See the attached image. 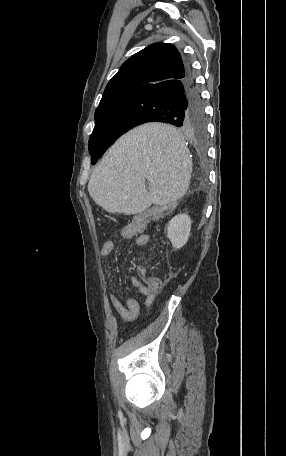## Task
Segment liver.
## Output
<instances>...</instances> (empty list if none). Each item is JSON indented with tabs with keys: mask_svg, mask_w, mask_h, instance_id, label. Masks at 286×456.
Wrapping results in <instances>:
<instances>
[{
	"mask_svg": "<svg viewBox=\"0 0 286 456\" xmlns=\"http://www.w3.org/2000/svg\"><path fill=\"white\" fill-rule=\"evenodd\" d=\"M191 173L182 133L171 125L147 123L110 147L90 177L88 192L108 212L138 214L152 204L176 203L186 194Z\"/></svg>",
	"mask_w": 286,
	"mask_h": 456,
	"instance_id": "1",
	"label": "liver"
}]
</instances>
